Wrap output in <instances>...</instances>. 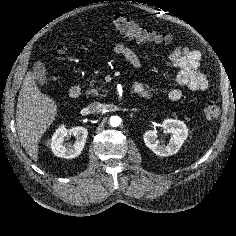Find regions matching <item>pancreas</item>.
Wrapping results in <instances>:
<instances>
[{"label":"pancreas","instance_id":"obj_1","mask_svg":"<svg viewBox=\"0 0 236 236\" xmlns=\"http://www.w3.org/2000/svg\"><path fill=\"white\" fill-rule=\"evenodd\" d=\"M97 72L96 75L93 76L92 80L90 81V87L86 91L87 96H93V97H103L104 94L102 93H107V90L102 89V85L98 86V84H101L102 80H97ZM102 92V93H101Z\"/></svg>","mask_w":236,"mask_h":236}]
</instances>
